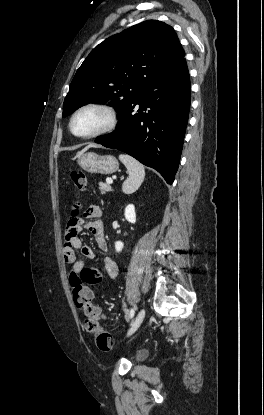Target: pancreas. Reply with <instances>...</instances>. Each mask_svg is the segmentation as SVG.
Wrapping results in <instances>:
<instances>
[{
  "mask_svg": "<svg viewBox=\"0 0 264 415\" xmlns=\"http://www.w3.org/2000/svg\"><path fill=\"white\" fill-rule=\"evenodd\" d=\"M99 186H100L101 193H106L112 190V188L108 184L103 183V182H100Z\"/></svg>",
  "mask_w": 264,
  "mask_h": 415,
  "instance_id": "1",
  "label": "pancreas"
}]
</instances>
